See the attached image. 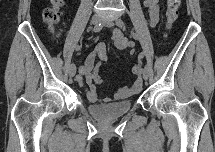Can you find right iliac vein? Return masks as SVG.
<instances>
[{
    "instance_id": "63e3f726",
    "label": "right iliac vein",
    "mask_w": 215,
    "mask_h": 152,
    "mask_svg": "<svg viewBox=\"0 0 215 152\" xmlns=\"http://www.w3.org/2000/svg\"><path fill=\"white\" fill-rule=\"evenodd\" d=\"M101 22V18L98 15H94L91 18V24L92 25H98ZM76 74V66L75 64H71L69 67V75L70 77H74Z\"/></svg>"
}]
</instances>
